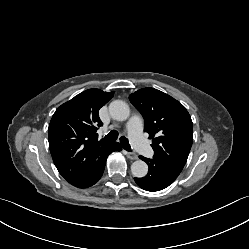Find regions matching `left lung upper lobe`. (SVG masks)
<instances>
[{
    "instance_id": "left-lung-upper-lobe-1",
    "label": "left lung upper lobe",
    "mask_w": 249,
    "mask_h": 249,
    "mask_svg": "<svg viewBox=\"0 0 249 249\" xmlns=\"http://www.w3.org/2000/svg\"><path fill=\"white\" fill-rule=\"evenodd\" d=\"M144 118V131L152 139L153 159L181 172L193 141V123L186 108L154 88H143L129 96Z\"/></svg>"
}]
</instances>
